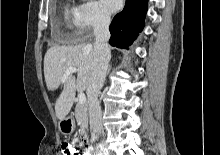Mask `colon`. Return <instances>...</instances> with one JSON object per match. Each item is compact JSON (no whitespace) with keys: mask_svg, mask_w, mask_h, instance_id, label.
Here are the masks:
<instances>
[{"mask_svg":"<svg viewBox=\"0 0 220 155\" xmlns=\"http://www.w3.org/2000/svg\"><path fill=\"white\" fill-rule=\"evenodd\" d=\"M87 145H64L61 146L63 155H81L83 148L85 149Z\"/></svg>","mask_w":220,"mask_h":155,"instance_id":"5ec220e1","label":"colon"}]
</instances>
